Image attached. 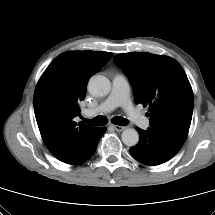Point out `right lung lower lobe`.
<instances>
[{
  "label": "right lung lower lobe",
  "mask_w": 215,
  "mask_h": 215,
  "mask_svg": "<svg viewBox=\"0 0 215 215\" xmlns=\"http://www.w3.org/2000/svg\"><path fill=\"white\" fill-rule=\"evenodd\" d=\"M106 128L102 127V128H98L95 136L90 144V146L88 147V149L85 151V154L83 155V157L80 159V161L77 164H81L83 162H85L86 160H88L95 152L98 142L100 140V137L103 135V133H105ZM75 164V165H77Z\"/></svg>",
  "instance_id": "right-lung-lower-lobe-1"
}]
</instances>
